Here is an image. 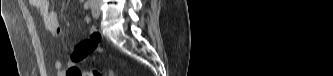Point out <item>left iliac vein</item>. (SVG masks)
<instances>
[{
    "label": "left iliac vein",
    "mask_w": 333,
    "mask_h": 76,
    "mask_svg": "<svg viewBox=\"0 0 333 76\" xmlns=\"http://www.w3.org/2000/svg\"><path fill=\"white\" fill-rule=\"evenodd\" d=\"M92 15H93L94 18H98L99 15H100L99 8H98L97 4H94V6L92 8Z\"/></svg>",
    "instance_id": "4c4485c4"
}]
</instances>
